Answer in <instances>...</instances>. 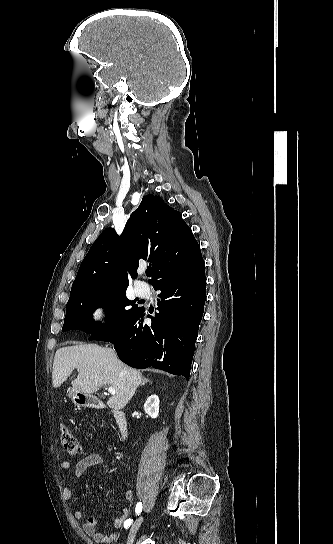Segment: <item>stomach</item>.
<instances>
[{
    "mask_svg": "<svg viewBox=\"0 0 333 544\" xmlns=\"http://www.w3.org/2000/svg\"><path fill=\"white\" fill-rule=\"evenodd\" d=\"M79 395H80V392H78L77 390L75 389H72V388H69L68 391H67V396L75 403V404H80L79 403Z\"/></svg>",
    "mask_w": 333,
    "mask_h": 544,
    "instance_id": "1",
    "label": "stomach"
}]
</instances>
